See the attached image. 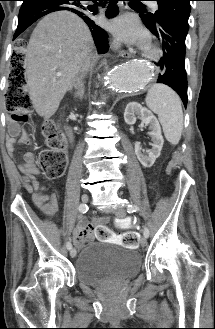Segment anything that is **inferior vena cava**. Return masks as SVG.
I'll list each match as a JSON object with an SVG mask.
<instances>
[{
  "label": "inferior vena cava",
  "mask_w": 215,
  "mask_h": 329,
  "mask_svg": "<svg viewBox=\"0 0 215 329\" xmlns=\"http://www.w3.org/2000/svg\"><path fill=\"white\" fill-rule=\"evenodd\" d=\"M92 66V61H91V57H88L84 63L82 64V67L79 71V74L75 80L74 86L77 89H80L83 85V79L84 77L87 75L88 71L91 69Z\"/></svg>",
  "instance_id": "obj_1"
}]
</instances>
